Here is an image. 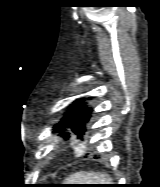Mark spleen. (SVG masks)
<instances>
[{
	"label": "spleen",
	"instance_id": "3e777b00",
	"mask_svg": "<svg viewBox=\"0 0 160 187\" xmlns=\"http://www.w3.org/2000/svg\"><path fill=\"white\" fill-rule=\"evenodd\" d=\"M112 179L102 173L77 172L67 180L68 184H110Z\"/></svg>",
	"mask_w": 160,
	"mask_h": 187
}]
</instances>
